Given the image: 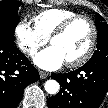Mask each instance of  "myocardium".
I'll return each instance as SVG.
<instances>
[{"instance_id": "f54148a6", "label": "myocardium", "mask_w": 108, "mask_h": 108, "mask_svg": "<svg viewBox=\"0 0 108 108\" xmlns=\"http://www.w3.org/2000/svg\"><path fill=\"white\" fill-rule=\"evenodd\" d=\"M78 21H85L91 29V39H90V43L87 47V49L85 50V52L78 58L68 61L66 62V65L70 68H74V67H79L81 65H83L84 63H86L92 56L95 48H96V44H97V40H98V30H97V26L96 23L94 22V20L86 15H75L73 17H70L68 19H66L64 22H62L54 31L53 33L50 35L49 37V42L51 43L53 41V39L63 35L64 33L67 32V30L76 22Z\"/></svg>"}]
</instances>
